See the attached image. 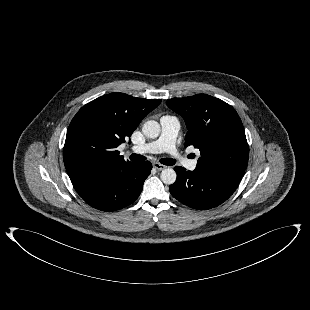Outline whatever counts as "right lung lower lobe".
I'll use <instances>...</instances> for the list:
<instances>
[{
    "label": "right lung lower lobe",
    "mask_w": 310,
    "mask_h": 310,
    "mask_svg": "<svg viewBox=\"0 0 310 310\" xmlns=\"http://www.w3.org/2000/svg\"><path fill=\"white\" fill-rule=\"evenodd\" d=\"M152 165L149 161L110 168L73 184L90 206L102 211H116L133 203L140 195Z\"/></svg>",
    "instance_id": "obj_1"
}]
</instances>
